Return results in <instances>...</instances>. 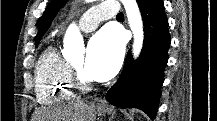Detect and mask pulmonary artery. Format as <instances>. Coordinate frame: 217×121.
I'll list each match as a JSON object with an SVG mask.
<instances>
[{"instance_id":"1","label":"pulmonary artery","mask_w":217,"mask_h":121,"mask_svg":"<svg viewBox=\"0 0 217 121\" xmlns=\"http://www.w3.org/2000/svg\"><path fill=\"white\" fill-rule=\"evenodd\" d=\"M119 6L115 2L105 1L87 10L79 19V28L90 32L97 28L105 19L114 18L118 14Z\"/></svg>"}]
</instances>
